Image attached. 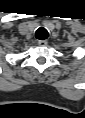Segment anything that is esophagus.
Segmentation results:
<instances>
[{
	"mask_svg": "<svg viewBox=\"0 0 85 118\" xmlns=\"http://www.w3.org/2000/svg\"><path fill=\"white\" fill-rule=\"evenodd\" d=\"M48 44L47 40H39L38 45L39 46H46Z\"/></svg>",
	"mask_w": 85,
	"mask_h": 118,
	"instance_id": "obj_1",
	"label": "esophagus"
}]
</instances>
